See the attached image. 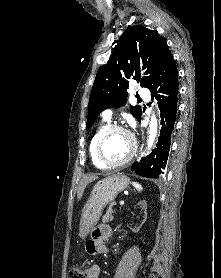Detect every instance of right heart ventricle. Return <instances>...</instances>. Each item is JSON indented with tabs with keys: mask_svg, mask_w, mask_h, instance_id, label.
Here are the masks:
<instances>
[{
	"mask_svg": "<svg viewBox=\"0 0 221 278\" xmlns=\"http://www.w3.org/2000/svg\"><path fill=\"white\" fill-rule=\"evenodd\" d=\"M108 127V123L107 122H103L101 123L97 129L95 130L94 134L92 135L90 142H89V155H90V159L93 163L94 166H96L97 168H105L104 166H102L99 161L97 160L96 156H95V144L96 141L99 137V135L102 133V131Z\"/></svg>",
	"mask_w": 221,
	"mask_h": 278,
	"instance_id": "right-heart-ventricle-1",
	"label": "right heart ventricle"
}]
</instances>
